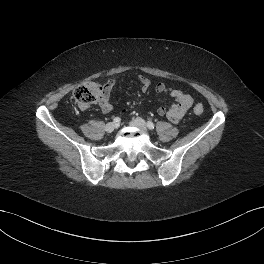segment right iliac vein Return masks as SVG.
<instances>
[{
	"instance_id": "obj_1",
	"label": "right iliac vein",
	"mask_w": 264,
	"mask_h": 264,
	"mask_svg": "<svg viewBox=\"0 0 264 264\" xmlns=\"http://www.w3.org/2000/svg\"><path fill=\"white\" fill-rule=\"evenodd\" d=\"M116 128V125L113 123V122H110L108 123L106 126H105V130L106 132L108 133H112Z\"/></svg>"
}]
</instances>
